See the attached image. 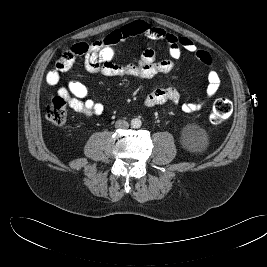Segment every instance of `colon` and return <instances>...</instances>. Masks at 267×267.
Here are the masks:
<instances>
[{
	"label": "colon",
	"mask_w": 267,
	"mask_h": 267,
	"mask_svg": "<svg viewBox=\"0 0 267 267\" xmlns=\"http://www.w3.org/2000/svg\"><path fill=\"white\" fill-rule=\"evenodd\" d=\"M233 105L227 98L215 100L210 113V121L219 124L226 121L232 114ZM46 118L55 126H63L67 120V104L62 97H54L45 109Z\"/></svg>",
	"instance_id": "colon-1"
}]
</instances>
